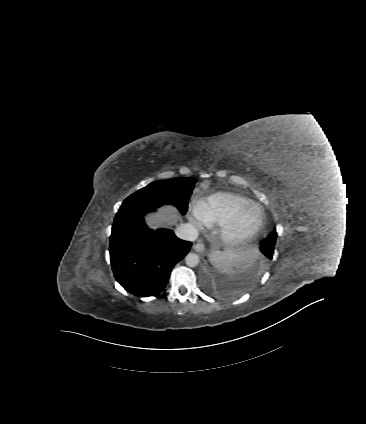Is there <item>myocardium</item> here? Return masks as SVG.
<instances>
[{"instance_id": "f54148a6", "label": "myocardium", "mask_w": 366, "mask_h": 424, "mask_svg": "<svg viewBox=\"0 0 366 424\" xmlns=\"http://www.w3.org/2000/svg\"><path fill=\"white\" fill-rule=\"evenodd\" d=\"M252 208L257 211L256 223L248 232H241L239 230L241 219L243 215ZM263 224L264 216L262 210L256 204L249 203L239 208L227 222L220 226L217 232V238L219 242L226 247H237L256 238L262 230Z\"/></svg>"}]
</instances>
